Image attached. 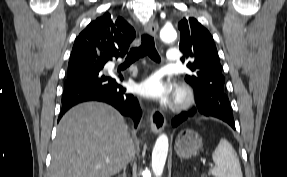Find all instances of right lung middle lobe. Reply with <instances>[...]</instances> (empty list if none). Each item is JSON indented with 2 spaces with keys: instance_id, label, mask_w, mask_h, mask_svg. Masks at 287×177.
Wrapping results in <instances>:
<instances>
[{
  "instance_id": "right-lung-middle-lobe-1",
  "label": "right lung middle lobe",
  "mask_w": 287,
  "mask_h": 177,
  "mask_svg": "<svg viewBox=\"0 0 287 177\" xmlns=\"http://www.w3.org/2000/svg\"><path fill=\"white\" fill-rule=\"evenodd\" d=\"M98 59H99V57L92 56V57L82 58V59L75 60V61H69L68 69L76 67V66L81 65V64L92 63V62L97 61ZM104 61L105 60H102V62H104Z\"/></svg>"
}]
</instances>
